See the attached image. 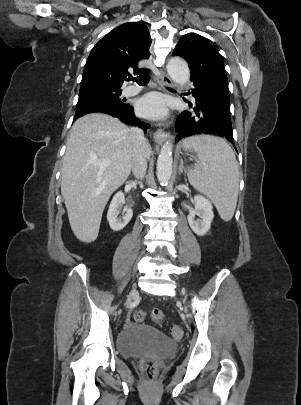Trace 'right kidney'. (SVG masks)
Wrapping results in <instances>:
<instances>
[{"instance_id":"right-kidney-1","label":"right kidney","mask_w":301,"mask_h":405,"mask_svg":"<svg viewBox=\"0 0 301 405\" xmlns=\"http://www.w3.org/2000/svg\"><path fill=\"white\" fill-rule=\"evenodd\" d=\"M124 203H125L124 194L121 191L117 192L110 203L107 213V220L109 222L110 228L113 231L122 230L128 224V222L131 220L133 216L132 209L125 208L126 214L122 218H117L121 206Z\"/></svg>"}]
</instances>
